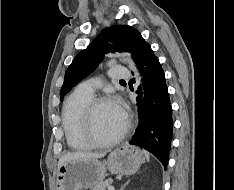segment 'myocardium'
Returning a JSON list of instances; mask_svg holds the SVG:
<instances>
[{"label": "myocardium", "mask_w": 234, "mask_h": 190, "mask_svg": "<svg viewBox=\"0 0 234 190\" xmlns=\"http://www.w3.org/2000/svg\"><path fill=\"white\" fill-rule=\"evenodd\" d=\"M107 102H109V99L106 97L92 98L83 112V129L87 139L94 146L107 147L114 145L123 139L129 129V122L125 121L123 128L115 136L109 139H101L96 135L94 131V114L99 106Z\"/></svg>", "instance_id": "myocardium-1"}]
</instances>
